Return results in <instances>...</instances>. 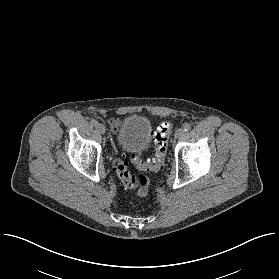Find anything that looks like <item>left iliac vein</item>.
I'll return each instance as SVG.
<instances>
[{
    "mask_svg": "<svg viewBox=\"0 0 279 279\" xmlns=\"http://www.w3.org/2000/svg\"><path fill=\"white\" fill-rule=\"evenodd\" d=\"M185 134V131L184 129H178L176 132H175V138L177 139H181Z\"/></svg>",
    "mask_w": 279,
    "mask_h": 279,
    "instance_id": "left-iliac-vein-1",
    "label": "left iliac vein"
}]
</instances>
